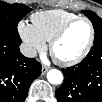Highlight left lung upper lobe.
I'll use <instances>...</instances> for the list:
<instances>
[{"label":"left lung upper lobe","mask_w":102,"mask_h":102,"mask_svg":"<svg viewBox=\"0 0 102 102\" xmlns=\"http://www.w3.org/2000/svg\"><path fill=\"white\" fill-rule=\"evenodd\" d=\"M82 13H84L92 22L94 30H95V38L94 43L102 41V19L97 16L95 13L83 10Z\"/></svg>","instance_id":"left-lung-upper-lobe-1"}]
</instances>
